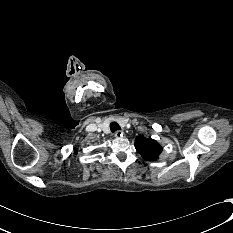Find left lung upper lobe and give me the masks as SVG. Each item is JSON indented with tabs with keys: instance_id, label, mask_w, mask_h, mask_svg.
<instances>
[{
	"instance_id": "obj_1",
	"label": "left lung upper lobe",
	"mask_w": 233,
	"mask_h": 233,
	"mask_svg": "<svg viewBox=\"0 0 233 233\" xmlns=\"http://www.w3.org/2000/svg\"><path fill=\"white\" fill-rule=\"evenodd\" d=\"M135 148L147 161H155L162 152V147L156 140L140 136L135 140Z\"/></svg>"
}]
</instances>
